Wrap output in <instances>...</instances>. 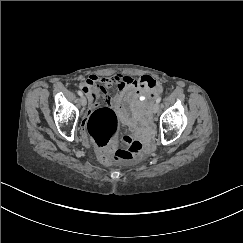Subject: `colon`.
Returning <instances> with one entry per match:
<instances>
[{
  "label": "colon",
  "instance_id": "1",
  "mask_svg": "<svg viewBox=\"0 0 243 243\" xmlns=\"http://www.w3.org/2000/svg\"><path fill=\"white\" fill-rule=\"evenodd\" d=\"M87 130L103 161L110 158L118 161H133L138 159L144 151V144L134 138H128L127 146L118 149L120 122L116 112L111 108H100L92 112L87 121Z\"/></svg>",
  "mask_w": 243,
  "mask_h": 243
}]
</instances>
